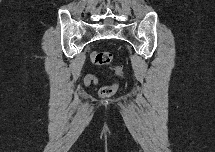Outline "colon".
Masks as SVG:
<instances>
[{"mask_svg":"<svg viewBox=\"0 0 215 152\" xmlns=\"http://www.w3.org/2000/svg\"><path fill=\"white\" fill-rule=\"evenodd\" d=\"M91 61L98 66H110L113 60V55L109 51H92L90 54ZM117 76H123V69L121 67L113 68ZM118 90L117 83L105 85L100 88L99 96L101 98H108L114 95Z\"/></svg>","mask_w":215,"mask_h":152,"instance_id":"colon-1","label":"colon"}]
</instances>
